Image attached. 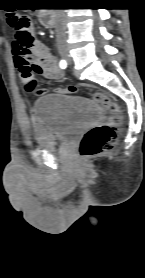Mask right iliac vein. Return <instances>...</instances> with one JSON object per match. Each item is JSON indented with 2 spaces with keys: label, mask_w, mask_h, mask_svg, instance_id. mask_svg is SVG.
Wrapping results in <instances>:
<instances>
[{
  "label": "right iliac vein",
  "mask_w": 145,
  "mask_h": 278,
  "mask_svg": "<svg viewBox=\"0 0 145 278\" xmlns=\"http://www.w3.org/2000/svg\"><path fill=\"white\" fill-rule=\"evenodd\" d=\"M65 52H66L65 50H61V53H62V54H65Z\"/></svg>",
  "instance_id": "obj_1"
}]
</instances>
